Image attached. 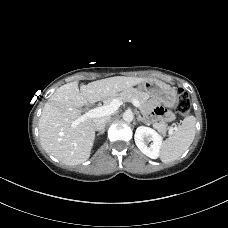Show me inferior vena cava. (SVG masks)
<instances>
[{
  "mask_svg": "<svg viewBox=\"0 0 228 228\" xmlns=\"http://www.w3.org/2000/svg\"><path fill=\"white\" fill-rule=\"evenodd\" d=\"M110 117L97 118L93 120V127L96 131H102Z\"/></svg>",
  "mask_w": 228,
  "mask_h": 228,
  "instance_id": "602c4592",
  "label": "inferior vena cava"
}]
</instances>
